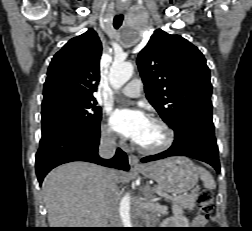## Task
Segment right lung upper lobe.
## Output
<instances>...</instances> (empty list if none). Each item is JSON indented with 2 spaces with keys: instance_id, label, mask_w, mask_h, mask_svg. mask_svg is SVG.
I'll list each match as a JSON object with an SVG mask.
<instances>
[{
  "instance_id": "cb5924a9",
  "label": "right lung upper lobe",
  "mask_w": 252,
  "mask_h": 231,
  "mask_svg": "<svg viewBox=\"0 0 252 231\" xmlns=\"http://www.w3.org/2000/svg\"><path fill=\"white\" fill-rule=\"evenodd\" d=\"M101 53L102 44L93 29L69 40L50 63L44 99L59 94L94 98L100 80Z\"/></svg>"
}]
</instances>
